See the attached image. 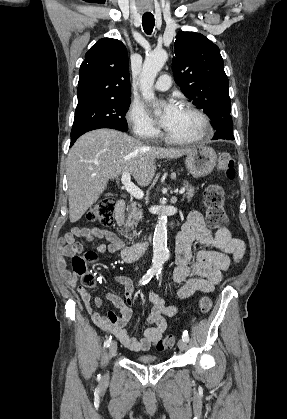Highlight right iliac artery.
I'll use <instances>...</instances> for the list:
<instances>
[{"instance_id":"82829eb1","label":"right iliac artery","mask_w":287,"mask_h":419,"mask_svg":"<svg viewBox=\"0 0 287 419\" xmlns=\"http://www.w3.org/2000/svg\"><path fill=\"white\" fill-rule=\"evenodd\" d=\"M155 274H156V270H153V269L148 270L147 273L139 281V285L147 284ZM111 339H112L111 336L106 339V341L104 342V348H107L110 346Z\"/></svg>"}]
</instances>
